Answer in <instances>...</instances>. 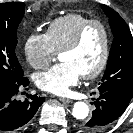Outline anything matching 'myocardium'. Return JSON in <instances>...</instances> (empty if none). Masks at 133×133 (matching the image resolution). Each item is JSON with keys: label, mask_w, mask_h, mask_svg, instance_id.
I'll list each match as a JSON object with an SVG mask.
<instances>
[{"label": "myocardium", "mask_w": 133, "mask_h": 133, "mask_svg": "<svg viewBox=\"0 0 133 133\" xmlns=\"http://www.w3.org/2000/svg\"><path fill=\"white\" fill-rule=\"evenodd\" d=\"M92 26H98L102 30L104 35V45H103V52H102L100 62L96 66V68L88 73L81 75L82 78L86 80H91L98 77L104 71V69L108 64L109 57H110V49H111V34L107 25L97 19H90L86 21L77 30V32L72 37V39L60 51V53H64V52L76 49L80 45L86 31Z\"/></svg>", "instance_id": "1"}]
</instances>
